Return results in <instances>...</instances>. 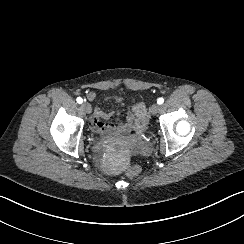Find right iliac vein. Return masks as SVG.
I'll list each match as a JSON object with an SVG mask.
<instances>
[{
    "label": "right iliac vein",
    "instance_id": "right-iliac-vein-1",
    "mask_svg": "<svg viewBox=\"0 0 244 244\" xmlns=\"http://www.w3.org/2000/svg\"><path fill=\"white\" fill-rule=\"evenodd\" d=\"M81 109H82V111H85L86 113H91L92 112V107L88 103H82Z\"/></svg>",
    "mask_w": 244,
    "mask_h": 244
}]
</instances>
